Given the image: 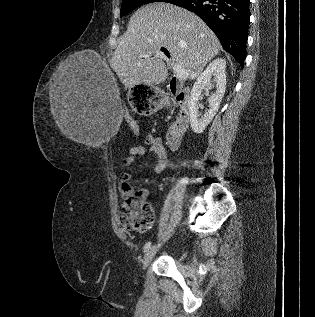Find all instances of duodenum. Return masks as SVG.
Masks as SVG:
<instances>
[{
	"label": "duodenum",
	"instance_id": "1",
	"mask_svg": "<svg viewBox=\"0 0 315 317\" xmlns=\"http://www.w3.org/2000/svg\"><path fill=\"white\" fill-rule=\"evenodd\" d=\"M169 92L177 101L179 111L174 123L171 125L167 141L171 149H176L180 144L184 132L188 129L190 124V115L187 108V95L180 88V82L177 77H173L170 81Z\"/></svg>",
	"mask_w": 315,
	"mask_h": 317
}]
</instances>
